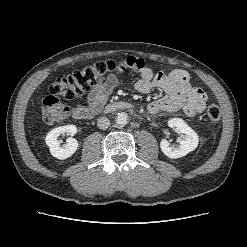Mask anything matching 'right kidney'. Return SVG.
Listing matches in <instances>:
<instances>
[{
	"instance_id": "1",
	"label": "right kidney",
	"mask_w": 247,
	"mask_h": 247,
	"mask_svg": "<svg viewBox=\"0 0 247 247\" xmlns=\"http://www.w3.org/2000/svg\"><path fill=\"white\" fill-rule=\"evenodd\" d=\"M76 132L77 128L75 125H66L52 129L46 136V145L49 147L52 156L61 160L71 157L78 148V141L70 137L67 139V144L61 147L58 137L64 133L73 136Z\"/></svg>"
}]
</instances>
